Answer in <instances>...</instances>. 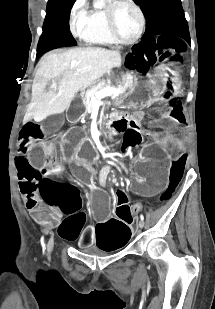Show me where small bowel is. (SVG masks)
Here are the masks:
<instances>
[{"label":"small bowel","mask_w":215,"mask_h":309,"mask_svg":"<svg viewBox=\"0 0 215 309\" xmlns=\"http://www.w3.org/2000/svg\"><path fill=\"white\" fill-rule=\"evenodd\" d=\"M127 129H131V134L129 133V134H127L125 137H124V139L126 140H128L129 141V143H131V142H133L134 141V139L132 138L133 136H132V134H135V131L137 130V125H136V123H134V122H131L128 126H126L125 128H123V130H127ZM114 194L115 195H119L120 194V190H115L114 191Z\"/></svg>","instance_id":"1"}]
</instances>
